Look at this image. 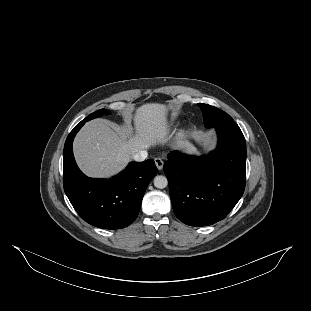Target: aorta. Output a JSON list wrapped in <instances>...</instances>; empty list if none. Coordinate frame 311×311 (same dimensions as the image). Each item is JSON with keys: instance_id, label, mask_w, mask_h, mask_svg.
Masks as SVG:
<instances>
[{"instance_id": "aorta-1", "label": "aorta", "mask_w": 311, "mask_h": 311, "mask_svg": "<svg viewBox=\"0 0 311 311\" xmlns=\"http://www.w3.org/2000/svg\"><path fill=\"white\" fill-rule=\"evenodd\" d=\"M154 186L158 189H164L168 185V180L165 176L158 175L153 179Z\"/></svg>"}]
</instances>
